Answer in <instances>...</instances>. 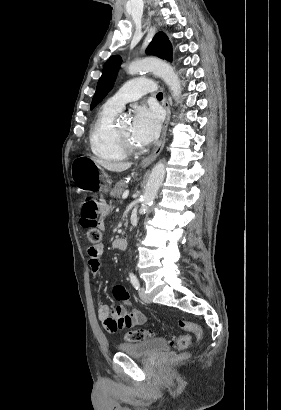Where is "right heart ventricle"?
<instances>
[{
	"mask_svg": "<svg viewBox=\"0 0 281 410\" xmlns=\"http://www.w3.org/2000/svg\"><path fill=\"white\" fill-rule=\"evenodd\" d=\"M118 111L105 105L98 112L89 133V143L92 154L106 162H116L125 159L126 150L116 136L114 125Z\"/></svg>",
	"mask_w": 281,
	"mask_h": 410,
	"instance_id": "right-heart-ventricle-1",
	"label": "right heart ventricle"
}]
</instances>
